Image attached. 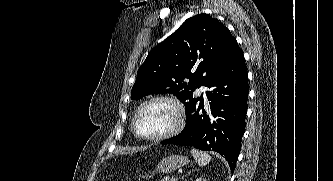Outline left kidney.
<instances>
[{
	"instance_id": "left-kidney-1",
	"label": "left kidney",
	"mask_w": 333,
	"mask_h": 181,
	"mask_svg": "<svg viewBox=\"0 0 333 181\" xmlns=\"http://www.w3.org/2000/svg\"><path fill=\"white\" fill-rule=\"evenodd\" d=\"M195 181H205L203 178H198Z\"/></svg>"
}]
</instances>
